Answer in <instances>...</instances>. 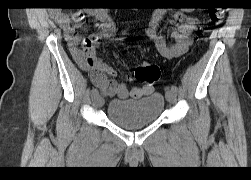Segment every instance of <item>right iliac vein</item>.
I'll list each match as a JSON object with an SVG mask.
<instances>
[{"label":"right iliac vein","mask_w":251,"mask_h":180,"mask_svg":"<svg viewBox=\"0 0 251 180\" xmlns=\"http://www.w3.org/2000/svg\"><path fill=\"white\" fill-rule=\"evenodd\" d=\"M92 101H93V105L96 107V108H100L103 103H104V100L103 98L101 97V95H96L92 98Z\"/></svg>","instance_id":"63e3f726"}]
</instances>
